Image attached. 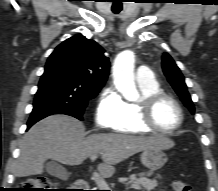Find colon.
<instances>
[{
	"instance_id": "5ec220e1",
	"label": "colon",
	"mask_w": 218,
	"mask_h": 191,
	"mask_svg": "<svg viewBox=\"0 0 218 191\" xmlns=\"http://www.w3.org/2000/svg\"><path fill=\"white\" fill-rule=\"evenodd\" d=\"M175 191H192L191 186L182 181L175 180L173 183ZM18 191H65L60 189L55 182L44 176L26 179L20 184Z\"/></svg>"
}]
</instances>
